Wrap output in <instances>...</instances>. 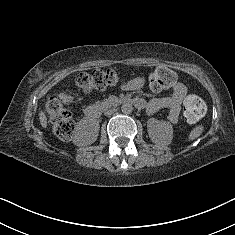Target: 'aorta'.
<instances>
[{
	"instance_id": "aorta-1",
	"label": "aorta",
	"mask_w": 235,
	"mask_h": 235,
	"mask_svg": "<svg viewBox=\"0 0 235 235\" xmlns=\"http://www.w3.org/2000/svg\"><path fill=\"white\" fill-rule=\"evenodd\" d=\"M121 111L124 114H130L133 111V106L131 104H129V103H124L121 106Z\"/></svg>"
}]
</instances>
